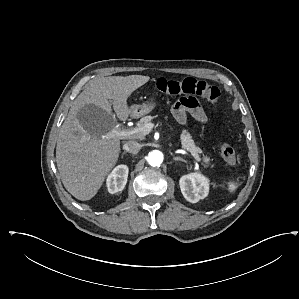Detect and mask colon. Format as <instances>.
Returning <instances> with one entry per match:
<instances>
[{
  "label": "colon",
  "instance_id": "colon-1",
  "mask_svg": "<svg viewBox=\"0 0 299 299\" xmlns=\"http://www.w3.org/2000/svg\"><path fill=\"white\" fill-rule=\"evenodd\" d=\"M155 86L159 92L164 94L183 95L185 97L200 96L213 104H217L220 98V91L216 86L204 80L194 78H185L182 80L159 78ZM221 156L230 166L236 165V153L230 143H222Z\"/></svg>",
  "mask_w": 299,
  "mask_h": 299
}]
</instances>
